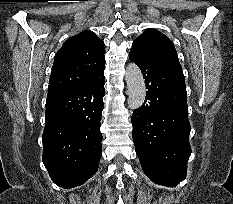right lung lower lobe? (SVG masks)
Listing matches in <instances>:
<instances>
[{
	"instance_id": "obj_1",
	"label": "right lung lower lobe",
	"mask_w": 233,
	"mask_h": 204,
	"mask_svg": "<svg viewBox=\"0 0 233 204\" xmlns=\"http://www.w3.org/2000/svg\"><path fill=\"white\" fill-rule=\"evenodd\" d=\"M103 72L81 87L47 97L43 163L60 187L81 185L98 170L102 155Z\"/></svg>"
}]
</instances>
